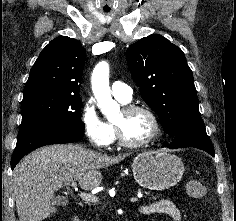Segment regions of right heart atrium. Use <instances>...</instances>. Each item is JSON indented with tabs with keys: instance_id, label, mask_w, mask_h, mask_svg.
I'll list each match as a JSON object with an SVG mask.
<instances>
[{
	"instance_id": "1",
	"label": "right heart atrium",
	"mask_w": 236,
	"mask_h": 221,
	"mask_svg": "<svg viewBox=\"0 0 236 221\" xmlns=\"http://www.w3.org/2000/svg\"><path fill=\"white\" fill-rule=\"evenodd\" d=\"M80 122L84 135L97 147L108 146L111 142V131L101 118L92 99L83 102L80 109Z\"/></svg>"
}]
</instances>
